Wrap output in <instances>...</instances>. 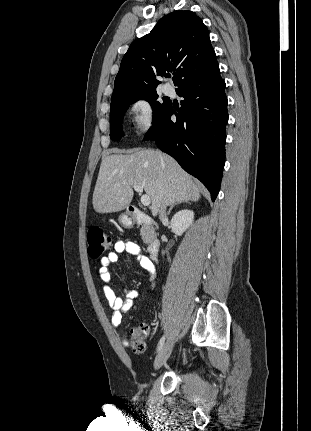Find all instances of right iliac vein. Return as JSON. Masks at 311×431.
<instances>
[{
  "instance_id": "obj_1",
  "label": "right iliac vein",
  "mask_w": 311,
  "mask_h": 431,
  "mask_svg": "<svg viewBox=\"0 0 311 431\" xmlns=\"http://www.w3.org/2000/svg\"><path fill=\"white\" fill-rule=\"evenodd\" d=\"M173 348V341L169 340L164 347L158 353L155 361H154V369L158 370L169 358Z\"/></svg>"
}]
</instances>
